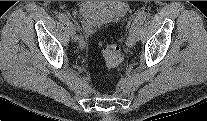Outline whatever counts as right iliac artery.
Wrapping results in <instances>:
<instances>
[{
  "instance_id": "82829eb1",
  "label": "right iliac artery",
  "mask_w": 207,
  "mask_h": 121,
  "mask_svg": "<svg viewBox=\"0 0 207 121\" xmlns=\"http://www.w3.org/2000/svg\"><path fill=\"white\" fill-rule=\"evenodd\" d=\"M59 20L61 21V22H68L69 21V18L67 17V15L66 14H64V13H61V14H59Z\"/></svg>"
}]
</instances>
